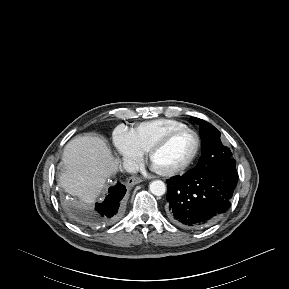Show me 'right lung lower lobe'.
<instances>
[{
	"instance_id": "1",
	"label": "right lung lower lobe",
	"mask_w": 289,
	"mask_h": 289,
	"mask_svg": "<svg viewBox=\"0 0 289 289\" xmlns=\"http://www.w3.org/2000/svg\"><path fill=\"white\" fill-rule=\"evenodd\" d=\"M126 193L125 186L117 183L109 188V194L101 204H96L95 212L92 214V221L97 225L108 226L114 223L120 215V203Z\"/></svg>"
}]
</instances>
